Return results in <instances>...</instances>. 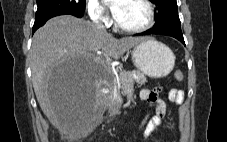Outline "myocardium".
<instances>
[{
	"instance_id": "myocardium-1",
	"label": "myocardium",
	"mask_w": 227,
	"mask_h": 142,
	"mask_svg": "<svg viewBox=\"0 0 227 142\" xmlns=\"http://www.w3.org/2000/svg\"><path fill=\"white\" fill-rule=\"evenodd\" d=\"M141 2L144 4L147 10V19L145 23H143L140 26L137 27H127L122 24H120L116 19L114 20V25L116 29L125 32V33H141L144 32L148 29H150L154 23H155V7L153 3L150 0H141Z\"/></svg>"
}]
</instances>
